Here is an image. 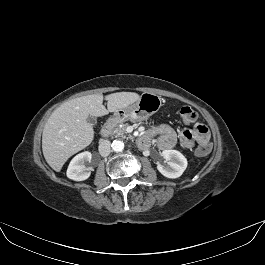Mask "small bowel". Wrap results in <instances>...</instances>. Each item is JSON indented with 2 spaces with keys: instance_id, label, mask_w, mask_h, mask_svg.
<instances>
[{
  "instance_id": "small-bowel-1",
  "label": "small bowel",
  "mask_w": 265,
  "mask_h": 265,
  "mask_svg": "<svg viewBox=\"0 0 265 265\" xmlns=\"http://www.w3.org/2000/svg\"><path fill=\"white\" fill-rule=\"evenodd\" d=\"M158 136V146L161 149H171L177 142V134L168 125H159L150 129L142 137L149 145L152 137ZM182 146L190 148L197 142L200 145L207 144L209 140V131L202 123H196L193 128L183 130L179 135Z\"/></svg>"
}]
</instances>
